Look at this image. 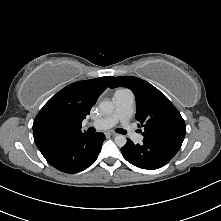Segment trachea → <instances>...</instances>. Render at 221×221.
Instances as JSON below:
<instances>
[{"mask_svg": "<svg viewBox=\"0 0 221 221\" xmlns=\"http://www.w3.org/2000/svg\"><path fill=\"white\" fill-rule=\"evenodd\" d=\"M116 132L120 134H126V131L121 128L116 129Z\"/></svg>", "mask_w": 221, "mask_h": 221, "instance_id": "3493384b", "label": "trachea"}]
</instances>
